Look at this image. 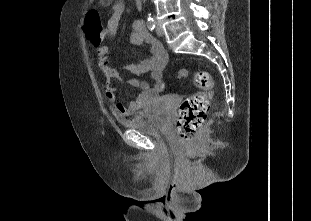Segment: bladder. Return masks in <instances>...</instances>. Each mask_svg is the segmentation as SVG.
Returning a JSON list of instances; mask_svg holds the SVG:
<instances>
[{
	"label": "bladder",
	"instance_id": "31cf9c89",
	"mask_svg": "<svg viewBox=\"0 0 311 221\" xmlns=\"http://www.w3.org/2000/svg\"><path fill=\"white\" fill-rule=\"evenodd\" d=\"M177 95H163L157 98L153 108H146L145 112L137 113L124 125L133 130H138L143 135L165 134L171 124L170 110L172 102H175Z\"/></svg>",
	"mask_w": 311,
	"mask_h": 221
}]
</instances>
